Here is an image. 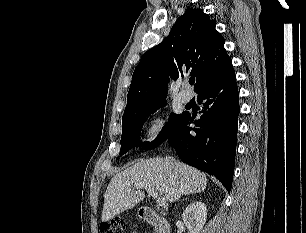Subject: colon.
Here are the masks:
<instances>
[{"mask_svg": "<svg viewBox=\"0 0 306 233\" xmlns=\"http://www.w3.org/2000/svg\"><path fill=\"white\" fill-rule=\"evenodd\" d=\"M125 221L123 219H113L110 222L103 223L100 226L101 233H123Z\"/></svg>", "mask_w": 306, "mask_h": 233, "instance_id": "obj_1", "label": "colon"}]
</instances>
